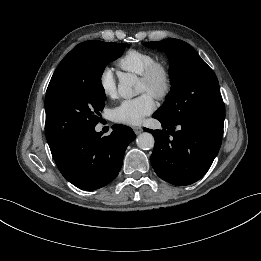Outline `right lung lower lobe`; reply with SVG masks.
Listing matches in <instances>:
<instances>
[{
	"instance_id": "right-lung-lower-lobe-1",
	"label": "right lung lower lobe",
	"mask_w": 261,
	"mask_h": 261,
	"mask_svg": "<svg viewBox=\"0 0 261 261\" xmlns=\"http://www.w3.org/2000/svg\"><path fill=\"white\" fill-rule=\"evenodd\" d=\"M102 135L91 128L51 151L62 175L80 189H99L115 179L127 146L136 138L124 125H114L109 136Z\"/></svg>"
}]
</instances>
